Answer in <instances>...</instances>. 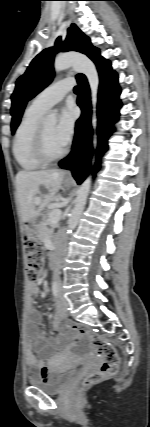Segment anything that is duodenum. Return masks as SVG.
Returning a JSON list of instances; mask_svg holds the SVG:
<instances>
[{
	"mask_svg": "<svg viewBox=\"0 0 150 427\" xmlns=\"http://www.w3.org/2000/svg\"><path fill=\"white\" fill-rule=\"evenodd\" d=\"M56 262H57V254H56V253H53V254L50 256V261H49L50 266L53 268V267L55 266Z\"/></svg>",
	"mask_w": 150,
	"mask_h": 427,
	"instance_id": "duodenum-1",
	"label": "duodenum"
}]
</instances>
